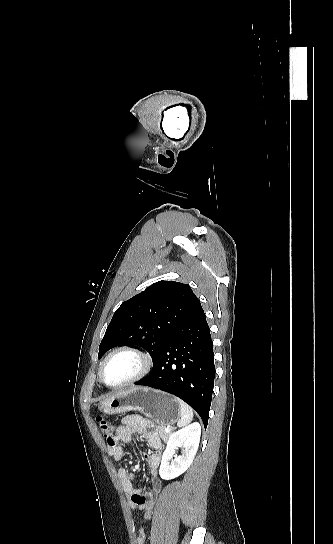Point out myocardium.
Returning a JSON list of instances; mask_svg holds the SVG:
<instances>
[{
    "mask_svg": "<svg viewBox=\"0 0 333 544\" xmlns=\"http://www.w3.org/2000/svg\"><path fill=\"white\" fill-rule=\"evenodd\" d=\"M120 353H129V354L135 355L140 361V368H139V370L137 371V373L135 375H133L131 378L125 380L124 382L116 384V385H110L104 379V368H105L107 362L113 356H115L117 354H120ZM152 367H153V359L148 353H146L145 351H143V350H141L139 348L133 347V346H121V347H118V348L114 349L113 351H111L104 358V360L102 361V363L100 365L98 374H99V379H100V381H101V383L103 385H105L106 387L112 388V389H119V388H123V387L129 386V385H131V384H133L135 382L140 381L141 379H143L145 376L148 375V373L151 371Z\"/></svg>",
    "mask_w": 333,
    "mask_h": 544,
    "instance_id": "myocardium-1",
    "label": "myocardium"
}]
</instances>
